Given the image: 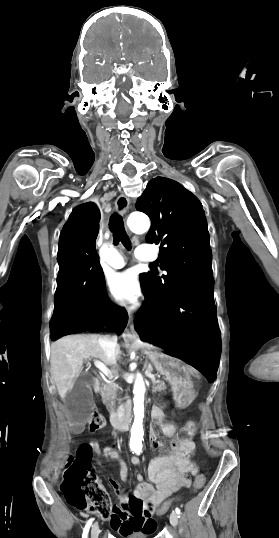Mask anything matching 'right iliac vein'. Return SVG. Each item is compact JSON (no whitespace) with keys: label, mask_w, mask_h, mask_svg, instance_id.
Masks as SVG:
<instances>
[{"label":"right iliac vein","mask_w":279,"mask_h":538,"mask_svg":"<svg viewBox=\"0 0 279 538\" xmlns=\"http://www.w3.org/2000/svg\"><path fill=\"white\" fill-rule=\"evenodd\" d=\"M98 535H99V525L97 522H95L91 528V538H98Z\"/></svg>","instance_id":"obj_1"}]
</instances>
